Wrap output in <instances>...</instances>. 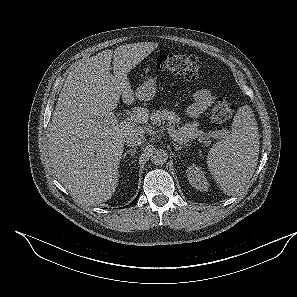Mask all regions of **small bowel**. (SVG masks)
I'll list each match as a JSON object with an SVG mask.
<instances>
[{
	"mask_svg": "<svg viewBox=\"0 0 297 297\" xmlns=\"http://www.w3.org/2000/svg\"><path fill=\"white\" fill-rule=\"evenodd\" d=\"M215 101V95L207 89H196L192 91V102L188 105L186 112L189 117L196 118L210 108Z\"/></svg>",
	"mask_w": 297,
	"mask_h": 297,
	"instance_id": "obj_1",
	"label": "small bowel"
}]
</instances>
